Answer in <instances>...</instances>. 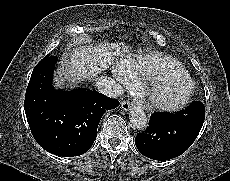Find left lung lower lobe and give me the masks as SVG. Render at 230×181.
I'll use <instances>...</instances> for the list:
<instances>
[{
	"instance_id": "0a47b994",
	"label": "left lung lower lobe",
	"mask_w": 230,
	"mask_h": 181,
	"mask_svg": "<svg viewBox=\"0 0 230 181\" xmlns=\"http://www.w3.org/2000/svg\"><path fill=\"white\" fill-rule=\"evenodd\" d=\"M205 118V108L194 101L187 109L154 113L145 132L137 133L135 145L144 156L165 161L184 153L198 136Z\"/></svg>"
}]
</instances>
